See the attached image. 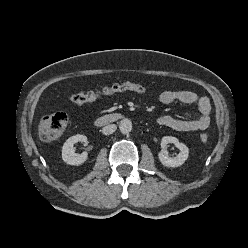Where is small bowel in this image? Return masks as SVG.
I'll use <instances>...</instances> for the list:
<instances>
[{
	"label": "small bowel",
	"instance_id": "1",
	"mask_svg": "<svg viewBox=\"0 0 248 248\" xmlns=\"http://www.w3.org/2000/svg\"><path fill=\"white\" fill-rule=\"evenodd\" d=\"M159 100L165 105L175 102L196 104L200 112V116L196 119H179L170 115H162L157 119L159 125L179 132H191L206 130L211 123V103L205 96H199L188 90H165L159 95Z\"/></svg>",
	"mask_w": 248,
	"mask_h": 248
}]
</instances>
